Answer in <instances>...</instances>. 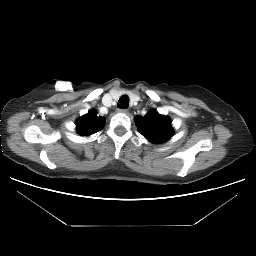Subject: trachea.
I'll list each match as a JSON object with an SVG mask.
<instances>
[{
  "label": "trachea",
  "instance_id": "obj_1",
  "mask_svg": "<svg viewBox=\"0 0 256 256\" xmlns=\"http://www.w3.org/2000/svg\"><path fill=\"white\" fill-rule=\"evenodd\" d=\"M129 106V97L127 95H122L117 103V107L121 109H126Z\"/></svg>",
  "mask_w": 256,
  "mask_h": 256
}]
</instances>
